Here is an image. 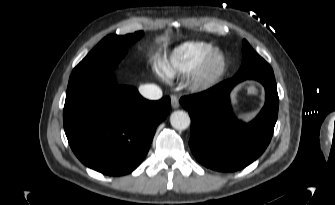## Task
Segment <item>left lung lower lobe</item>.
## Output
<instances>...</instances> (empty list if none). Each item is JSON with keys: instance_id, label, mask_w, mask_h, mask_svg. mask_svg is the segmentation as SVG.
Wrapping results in <instances>:
<instances>
[{"instance_id": "left-lung-lower-lobe-1", "label": "left lung lower lobe", "mask_w": 335, "mask_h": 205, "mask_svg": "<svg viewBox=\"0 0 335 205\" xmlns=\"http://www.w3.org/2000/svg\"><path fill=\"white\" fill-rule=\"evenodd\" d=\"M253 79L265 87L266 101L259 115L245 124L234 117L229 93L238 83ZM191 117L189 145L207 168L234 172L255 161L267 148L277 121L279 98L275 78L233 77L211 89L180 99Z\"/></svg>"}]
</instances>
